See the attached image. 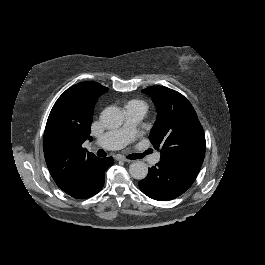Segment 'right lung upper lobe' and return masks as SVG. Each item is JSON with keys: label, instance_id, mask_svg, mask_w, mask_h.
<instances>
[{"label": "right lung upper lobe", "instance_id": "obj_1", "mask_svg": "<svg viewBox=\"0 0 265 265\" xmlns=\"http://www.w3.org/2000/svg\"><path fill=\"white\" fill-rule=\"evenodd\" d=\"M108 88L86 81L67 89L54 104L47 120L43 148L49 172L57 186L69 190L88 180L101 158L86 153L94 106Z\"/></svg>", "mask_w": 265, "mask_h": 265}]
</instances>
